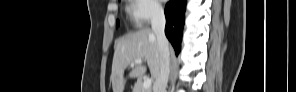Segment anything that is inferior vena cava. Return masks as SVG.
Returning <instances> with one entry per match:
<instances>
[{
  "mask_svg": "<svg viewBox=\"0 0 296 92\" xmlns=\"http://www.w3.org/2000/svg\"><path fill=\"white\" fill-rule=\"evenodd\" d=\"M166 19L164 10L161 6L153 8L151 17V26L154 34L157 37L159 51H160V73L155 79L153 85V92H166L170 72V55H169V42L166 38L165 29Z\"/></svg>",
  "mask_w": 296,
  "mask_h": 92,
  "instance_id": "602c4592",
  "label": "inferior vena cava"
}]
</instances>
